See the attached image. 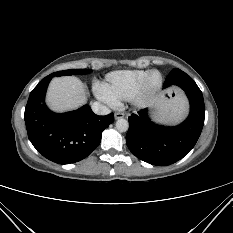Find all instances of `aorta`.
Here are the masks:
<instances>
[{"label": "aorta", "mask_w": 233, "mask_h": 233, "mask_svg": "<svg viewBox=\"0 0 233 233\" xmlns=\"http://www.w3.org/2000/svg\"><path fill=\"white\" fill-rule=\"evenodd\" d=\"M129 128V123L126 119L124 118H119L117 121H116V129L119 131V132H126Z\"/></svg>", "instance_id": "aorta-1"}]
</instances>
